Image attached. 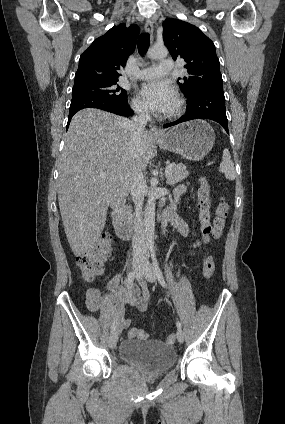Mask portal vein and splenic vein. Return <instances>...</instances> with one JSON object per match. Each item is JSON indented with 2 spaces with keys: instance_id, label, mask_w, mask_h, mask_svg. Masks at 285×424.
<instances>
[{
  "instance_id": "18ae733b",
  "label": "portal vein and splenic vein",
  "mask_w": 285,
  "mask_h": 424,
  "mask_svg": "<svg viewBox=\"0 0 285 424\" xmlns=\"http://www.w3.org/2000/svg\"><path fill=\"white\" fill-rule=\"evenodd\" d=\"M172 167H173V165H172V164H170V165H168V166L166 167V171H165L166 176L170 173V171L172 170ZM100 176H101V177H105V176H106V174H105V173H101V174H100Z\"/></svg>"
}]
</instances>
